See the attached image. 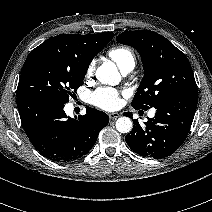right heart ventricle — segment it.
Segmentation results:
<instances>
[{
	"label": "right heart ventricle",
	"mask_w": 212,
	"mask_h": 212,
	"mask_svg": "<svg viewBox=\"0 0 212 212\" xmlns=\"http://www.w3.org/2000/svg\"><path fill=\"white\" fill-rule=\"evenodd\" d=\"M108 56L118 67L123 70L130 65H135V56L133 52L124 46H116L108 51Z\"/></svg>",
	"instance_id": "obj_1"
}]
</instances>
